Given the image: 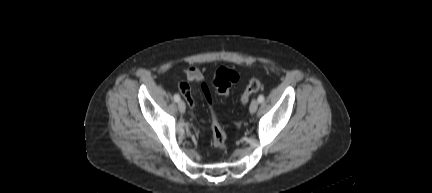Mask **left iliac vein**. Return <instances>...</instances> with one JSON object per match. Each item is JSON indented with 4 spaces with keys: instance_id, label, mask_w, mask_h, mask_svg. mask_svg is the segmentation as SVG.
<instances>
[{
    "instance_id": "1",
    "label": "left iliac vein",
    "mask_w": 432,
    "mask_h": 193,
    "mask_svg": "<svg viewBox=\"0 0 432 193\" xmlns=\"http://www.w3.org/2000/svg\"><path fill=\"white\" fill-rule=\"evenodd\" d=\"M258 109V101L256 99L252 100L250 107H249V111L250 113H255Z\"/></svg>"
}]
</instances>
